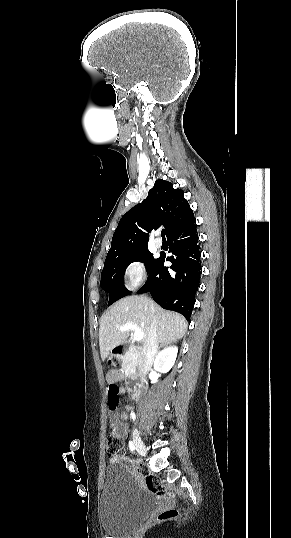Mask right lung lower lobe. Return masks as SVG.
Wrapping results in <instances>:
<instances>
[{
	"label": "right lung lower lobe",
	"mask_w": 291,
	"mask_h": 538,
	"mask_svg": "<svg viewBox=\"0 0 291 538\" xmlns=\"http://www.w3.org/2000/svg\"><path fill=\"white\" fill-rule=\"evenodd\" d=\"M196 221L171 234L167 239L173 256H160L148 279L137 293L150 292L164 309L173 310L189 319L198 291L201 265ZM172 263L168 269L164 261Z\"/></svg>",
	"instance_id": "obj_1"
}]
</instances>
